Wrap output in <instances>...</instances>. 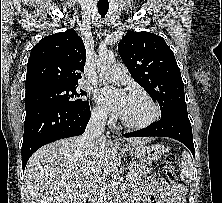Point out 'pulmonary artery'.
<instances>
[{"label": "pulmonary artery", "instance_id": "e3ab8cb5", "mask_svg": "<svg viewBox=\"0 0 222 203\" xmlns=\"http://www.w3.org/2000/svg\"><path fill=\"white\" fill-rule=\"evenodd\" d=\"M105 79L114 84H124L128 80V71L123 64H115L106 72Z\"/></svg>", "mask_w": 222, "mask_h": 203}]
</instances>
